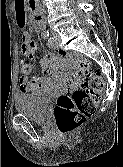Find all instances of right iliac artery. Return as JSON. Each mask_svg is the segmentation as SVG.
<instances>
[{
	"label": "right iliac artery",
	"instance_id": "1",
	"mask_svg": "<svg viewBox=\"0 0 123 167\" xmlns=\"http://www.w3.org/2000/svg\"><path fill=\"white\" fill-rule=\"evenodd\" d=\"M49 31L43 32V38H48L49 37Z\"/></svg>",
	"mask_w": 123,
	"mask_h": 167
}]
</instances>
